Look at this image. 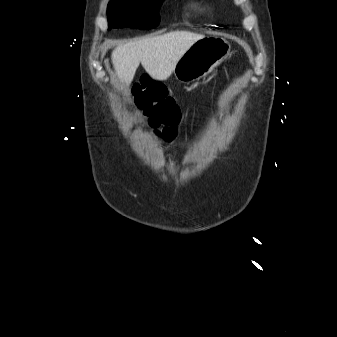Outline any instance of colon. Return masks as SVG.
Masks as SVG:
<instances>
[{
  "instance_id": "colon-1",
  "label": "colon",
  "mask_w": 337,
  "mask_h": 337,
  "mask_svg": "<svg viewBox=\"0 0 337 337\" xmlns=\"http://www.w3.org/2000/svg\"><path fill=\"white\" fill-rule=\"evenodd\" d=\"M133 94L137 105L148 117L150 126L166 141L174 140L181 118L180 110L165 87L143 75L134 85Z\"/></svg>"
}]
</instances>
